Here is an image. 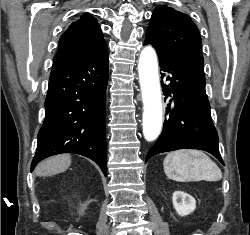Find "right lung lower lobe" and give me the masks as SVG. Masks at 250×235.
Returning a JSON list of instances; mask_svg holds the SVG:
<instances>
[{"instance_id": "right-lung-lower-lobe-1", "label": "right lung lower lobe", "mask_w": 250, "mask_h": 235, "mask_svg": "<svg viewBox=\"0 0 250 235\" xmlns=\"http://www.w3.org/2000/svg\"><path fill=\"white\" fill-rule=\"evenodd\" d=\"M107 83L106 44L81 60L52 67L31 171L47 157L76 153L92 159L107 175Z\"/></svg>"}]
</instances>
